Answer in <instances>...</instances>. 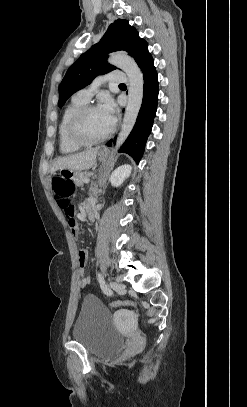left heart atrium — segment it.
I'll return each instance as SVG.
<instances>
[{
  "mask_svg": "<svg viewBox=\"0 0 247 407\" xmlns=\"http://www.w3.org/2000/svg\"><path fill=\"white\" fill-rule=\"evenodd\" d=\"M99 109L102 112V114L104 115L107 122L111 126H113L116 122V114H117L116 105L113 102V100L109 97H106L103 100L102 105L100 106Z\"/></svg>",
  "mask_w": 247,
  "mask_h": 407,
  "instance_id": "left-heart-atrium-1",
  "label": "left heart atrium"
}]
</instances>
